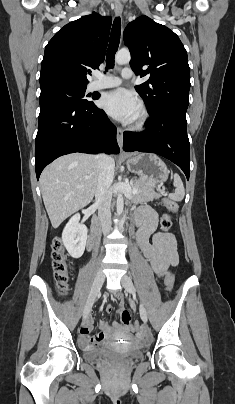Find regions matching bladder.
Segmentation results:
<instances>
[{"label": "bladder", "instance_id": "31cf9c89", "mask_svg": "<svg viewBox=\"0 0 235 404\" xmlns=\"http://www.w3.org/2000/svg\"><path fill=\"white\" fill-rule=\"evenodd\" d=\"M139 353H136L134 349L128 351H121L116 346L108 345L105 347H99L88 350L85 352V359L88 362H126L140 359Z\"/></svg>", "mask_w": 235, "mask_h": 404}]
</instances>
